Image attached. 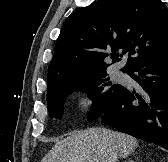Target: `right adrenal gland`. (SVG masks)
I'll list each match as a JSON object with an SVG mask.
<instances>
[{
    "label": "right adrenal gland",
    "instance_id": "obj_1",
    "mask_svg": "<svg viewBox=\"0 0 168 162\" xmlns=\"http://www.w3.org/2000/svg\"><path fill=\"white\" fill-rule=\"evenodd\" d=\"M127 162H134L133 160H130V159H128V161Z\"/></svg>",
    "mask_w": 168,
    "mask_h": 162
}]
</instances>
